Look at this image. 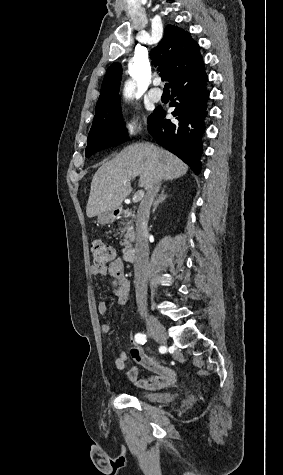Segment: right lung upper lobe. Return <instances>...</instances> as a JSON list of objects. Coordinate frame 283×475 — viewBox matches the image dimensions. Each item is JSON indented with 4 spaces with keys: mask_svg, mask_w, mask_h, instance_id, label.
Segmentation results:
<instances>
[{
    "mask_svg": "<svg viewBox=\"0 0 283 475\" xmlns=\"http://www.w3.org/2000/svg\"><path fill=\"white\" fill-rule=\"evenodd\" d=\"M152 64L159 66L160 75L174 84L180 78L204 67L198 44L190 33L174 25H167L163 39L150 52ZM122 67L111 65L104 77L97 107L120 105L119 87Z\"/></svg>",
    "mask_w": 283,
    "mask_h": 475,
    "instance_id": "obj_1",
    "label": "right lung upper lobe"
}]
</instances>
